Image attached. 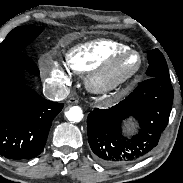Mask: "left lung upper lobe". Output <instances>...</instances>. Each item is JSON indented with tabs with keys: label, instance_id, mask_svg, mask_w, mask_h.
Here are the masks:
<instances>
[{
	"label": "left lung upper lobe",
	"instance_id": "obj_1",
	"mask_svg": "<svg viewBox=\"0 0 183 183\" xmlns=\"http://www.w3.org/2000/svg\"><path fill=\"white\" fill-rule=\"evenodd\" d=\"M148 62L146 74L149 77L170 79L166 60L158 49L148 52Z\"/></svg>",
	"mask_w": 183,
	"mask_h": 183
}]
</instances>
